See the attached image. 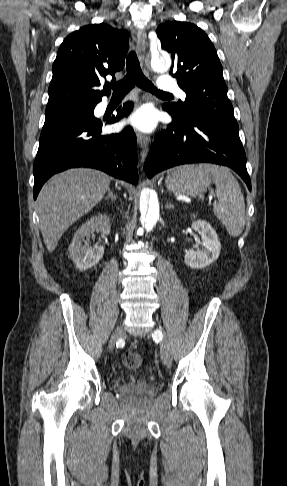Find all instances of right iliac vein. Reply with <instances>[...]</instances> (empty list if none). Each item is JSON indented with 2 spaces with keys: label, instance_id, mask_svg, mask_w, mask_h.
Segmentation results:
<instances>
[{
  "label": "right iliac vein",
  "instance_id": "63e3f726",
  "mask_svg": "<svg viewBox=\"0 0 287 486\" xmlns=\"http://www.w3.org/2000/svg\"><path fill=\"white\" fill-rule=\"evenodd\" d=\"M122 333H123L122 327L121 326L117 327V329L114 331L110 339V345H109L110 349L114 347L116 341L121 337Z\"/></svg>",
  "mask_w": 287,
  "mask_h": 486
}]
</instances>
